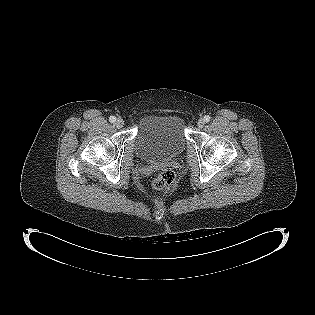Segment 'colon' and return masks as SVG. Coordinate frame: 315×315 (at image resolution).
<instances>
[{
	"label": "colon",
	"mask_w": 315,
	"mask_h": 315,
	"mask_svg": "<svg viewBox=\"0 0 315 315\" xmlns=\"http://www.w3.org/2000/svg\"><path fill=\"white\" fill-rule=\"evenodd\" d=\"M175 179L176 176L172 170H164L154 177L152 186L156 190L167 191L173 186Z\"/></svg>",
	"instance_id": "colon-1"
}]
</instances>
